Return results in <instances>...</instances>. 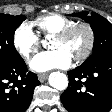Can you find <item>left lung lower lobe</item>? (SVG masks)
Returning <instances> with one entry per match:
<instances>
[{"mask_svg":"<svg viewBox=\"0 0 112 112\" xmlns=\"http://www.w3.org/2000/svg\"><path fill=\"white\" fill-rule=\"evenodd\" d=\"M69 85L61 102L69 112H109L112 109V56L68 71Z\"/></svg>","mask_w":112,"mask_h":112,"instance_id":"left-lung-lower-lobe-1","label":"left lung lower lobe"}]
</instances>
